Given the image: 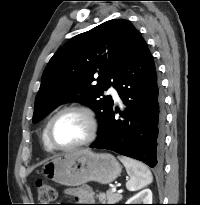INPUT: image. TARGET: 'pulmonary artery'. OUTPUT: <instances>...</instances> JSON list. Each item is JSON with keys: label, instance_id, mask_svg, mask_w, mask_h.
Instances as JSON below:
<instances>
[{"label": "pulmonary artery", "instance_id": "e3ab8cb5", "mask_svg": "<svg viewBox=\"0 0 200 205\" xmlns=\"http://www.w3.org/2000/svg\"><path fill=\"white\" fill-rule=\"evenodd\" d=\"M108 93L112 95V97L116 100V101H119V95H118V92L117 90L113 87V86H110L109 89H108Z\"/></svg>", "mask_w": 200, "mask_h": 205}]
</instances>
